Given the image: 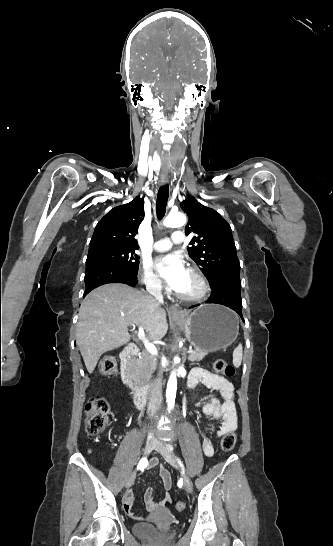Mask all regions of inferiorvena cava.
Here are the masks:
<instances>
[{
	"mask_svg": "<svg viewBox=\"0 0 333 546\" xmlns=\"http://www.w3.org/2000/svg\"><path fill=\"white\" fill-rule=\"evenodd\" d=\"M146 290L150 295L154 296V298L159 303H163V296L161 293L162 284L159 279L150 280L146 285ZM161 402H162L161 384L160 382H157L152 387L150 398H149L147 413L150 417H153L156 414V412L159 410Z\"/></svg>",
	"mask_w": 333,
	"mask_h": 546,
	"instance_id": "inferior-vena-cava-1",
	"label": "inferior vena cava"
}]
</instances>
